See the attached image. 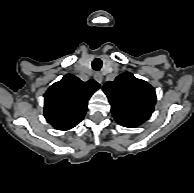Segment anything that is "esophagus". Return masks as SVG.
Listing matches in <instances>:
<instances>
[{"mask_svg": "<svg viewBox=\"0 0 194 193\" xmlns=\"http://www.w3.org/2000/svg\"><path fill=\"white\" fill-rule=\"evenodd\" d=\"M94 79H95L99 84H101L102 81H103V76H102L101 73H96V74L94 75Z\"/></svg>", "mask_w": 194, "mask_h": 193, "instance_id": "obj_1", "label": "esophagus"}]
</instances>
